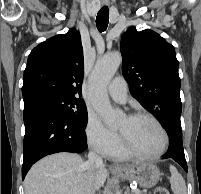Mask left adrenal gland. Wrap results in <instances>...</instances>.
<instances>
[{
	"label": "left adrenal gland",
	"instance_id": "1",
	"mask_svg": "<svg viewBox=\"0 0 201 194\" xmlns=\"http://www.w3.org/2000/svg\"><path fill=\"white\" fill-rule=\"evenodd\" d=\"M124 194H130L129 189H127Z\"/></svg>",
	"mask_w": 201,
	"mask_h": 194
}]
</instances>
